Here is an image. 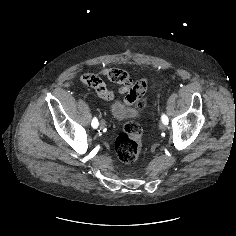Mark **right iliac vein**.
I'll return each instance as SVG.
<instances>
[{"instance_id":"obj_1","label":"right iliac vein","mask_w":236,"mask_h":236,"mask_svg":"<svg viewBox=\"0 0 236 236\" xmlns=\"http://www.w3.org/2000/svg\"><path fill=\"white\" fill-rule=\"evenodd\" d=\"M105 125H106V124H105V121H104V120H101V121H100V128H104Z\"/></svg>"}]
</instances>
